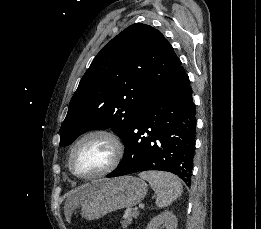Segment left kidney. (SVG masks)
Listing matches in <instances>:
<instances>
[{
	"label": "left kidney",
	"mask_w": 261,
	"mask_h": 229,
	"mask_svg": "<svg viewBox=\"0 0 261 229\" xmlns=\"http://www.w3.org/2000/svg\"><path fill=\"white\" fill-rule=\"evenodd\" d=\"M177 219L173 215L172 211H164L161 215L154 217L150 223L147 225V229H160V227H165V229H177Z\"/></svg>",
	"instance_id": "left-kidney-1"
}]
</instances>
